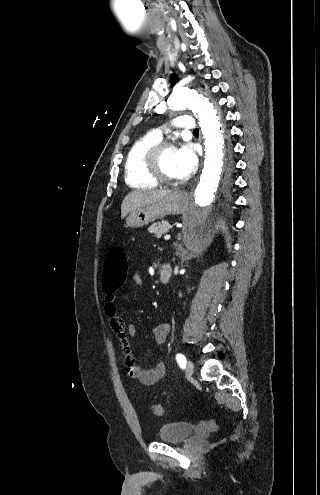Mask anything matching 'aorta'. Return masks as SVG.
<instances>
[{
	"mask_svg": "<svg viewBox=\"0 0 320 495\" xmlns=\"http://www.w3.org/2000/svg\"><path fill=\"white\" fill-rule=\"evenodd\" d=\"M171 110L191 109L204 136V167L194 199L184 217V243H192L195 233L214 208V194L223 167L224 133L218 108L203 93L193 89H177L168 100Z\"/></svg>",
	"mask_w": 320,
	"mask_h": 495,
	"instance_id": "aorta-1",
	"label": "aorta"
}]
</instances>
